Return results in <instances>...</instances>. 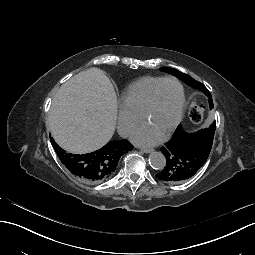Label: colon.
I'll return each instance as SVG.
<instances>
[{"label":"colon","instance_id":"5ec220e1","mask_svg":"<svg viewBox=\"0 0 255 255\" xmlns=\"http://www.w3.org/2000/svg\"><path fill=\"white\" fill-rule=\"evenodd\" d=\"M189 116L195 123H200L204 119L203 108L195 98L191 100L189 106Z\"/></svg>","mask_w":255,"mask_h":255}]
</instances>
